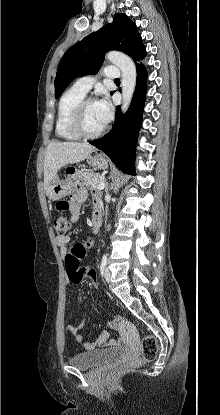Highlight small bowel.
I'll return each mask as SVG.
<instances>
[{"label": "small bowel", "mask_w": 220, "mask_h": 415, "mask_svg": "<svg viewBox=\"0 0 220 415\" xmlns=\"http://www.w3.org/2000/svg\"><path fill=\"white\" fill-rule=\"evenodd\" d=\"M87 197V192L83 188H78L71 196L68 207L65 209L70 213V220L72 223L78 221L80 217L81 208L83 203ZM101 212V203H100V196L98 193H94L93 196V218L98 213ZM70 237L68 235L58 236L57 237V244L60 248L62 255H65L68 250ZM85 243L88 245L93 244V239L88 238ZM94 284L96 286L99 285L97 276L94 272ZM82 328V324H74L71 323L67 326V330L75 335L77 342L83 344L86 350H94L97 348H106V347H113L119 345L118 340H112L109 338V332L104 330L101 332L99 337L94 342H87L83 334L80 333V329Z\"/></svg>", "instance_id": "small-bowel-1"}]
</instances>
